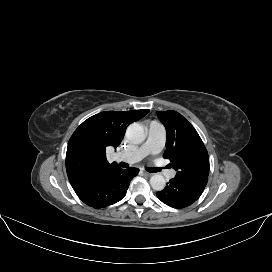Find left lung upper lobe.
Instances as JSON below:
<instances>
[{
	"label": "left lung upper lobe",
	"mask_w": 272,
	"mask_h": 272,
	"mask_svg": "<svg viewBox=\"0 0 272 272\" xmlns=\"http://www.w3.org/2000/svg\"><path fill=\"white\" fill-rule=\"evenodd\" d=\"M157 115L167 132L163 157L172 162L175 178L208 177V152L194 127L176 111H157Z\"/></svg>",
	"instance_id": "obj_1"
}]
</instances>
